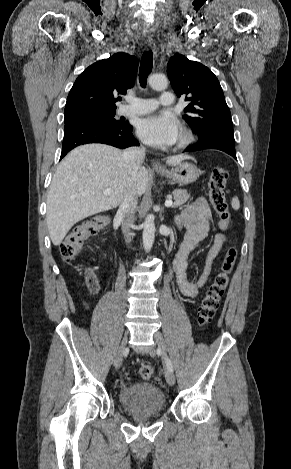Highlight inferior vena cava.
I'll return each mask as SVG.
<instances>
[{
	"label": "inferior vena cava",
	"mask_w": 291,
	"mask_h": 469,
	"mask_svg": "<svg viewBox=\"0 0 291 469\" xmlns=\"http://www.w3.org/2000/svg\"><path fill=\"white\" fill-rule=\"evenodd\" d=\"M145 158V148L130 147L122 154V159L130 171L131 177H136L137 171ZM138 197L134 190H128L124 195L117 211V216L122 222V232L127 241H130V228L134 222V212L137 207Z\"/></svg>",
	"instance_id": "1"
}]
</instances>
